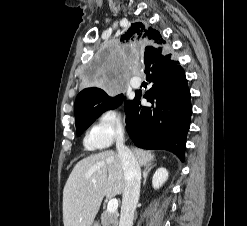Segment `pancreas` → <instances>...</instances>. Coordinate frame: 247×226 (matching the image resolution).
I'll use <instances>...</instances> for the list:
<instances>
[{"instance_id":"cf45deb5","label":"pancreas","mask_w":247,"mask_h":226,"mask_svg":"<svg viewBox=\"0 0 247 226\" xmlns=\"http://www.w3.org/2000/svg\"><path fill=\"white\" fill-rule=\"evenodd\" d=\"M118 213H109L104 211L101 214V224L102 226H117L118 225Z\"/></svg>"}]
</instances>
